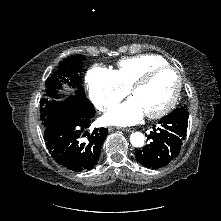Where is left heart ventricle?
Masks as SVG:
<instances>
[{
    "instance_id": "obj_1",
    "label": "left heart ventricle",
    "mask_w": 221,
    "mask_h": 221,
    "mask_svg": "<svg viewBox=\"0 0 221 221\" xmlns=\"http://www.w3.org/2000/svg\"><path fill=\"white\" fill-rule=\"evenodd\" d=\"M176 85V73L172 70H164L157 73L148 84L135 91L133 97L138 100L145 114L153 113L168 103Z\"/></svg>"
}]
</instances>
